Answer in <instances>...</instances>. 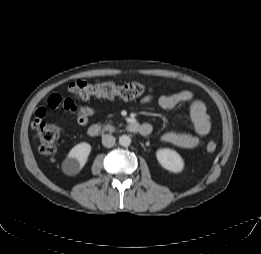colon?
<instances>
[{"instance_id":"5ec220e1","label":"colon","mask_w":261,"mask_h":254,"mask_svg":"<svg viewBox=\"0 0 261 254\" xmlns=\"http://www.w3.org/2000/svg\"><path fill=\"white\" fill-rule=\"evenodd\" d=\"M69 91L76 99L86 100L91 97H103L113 98L120 97L126 100L137 99L146 96L149 93L144 85L138 82L127 83L123 85H116L111 82H97L91 83L87 81H76L70 84ZM61 103V99L52 95L48 104L50 107H58ZM42 109H38V113L42 112ZM60 136V127L57 125H47L39 123L37 126V141L39 143L40 152L45 156H50L55 152V144ZM217 149L215 142H208L206 145V151L213 153Z\"/></svg>"}]
</instances>
